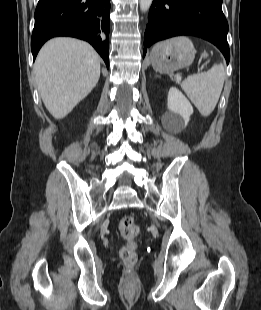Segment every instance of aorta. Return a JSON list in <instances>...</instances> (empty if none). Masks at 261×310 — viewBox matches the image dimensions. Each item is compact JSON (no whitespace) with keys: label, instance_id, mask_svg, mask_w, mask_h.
<instances>
[{"label":"aorta","instance_id":"1","mask_svg":"<svg viewBox=\"0 0 261 310\" xmlns=\"http://www.w3.org/2000/svg\"><path fill=\"white\" fill-rule=\"evenodd\" d=\"M153 0H140V9L142 12L149 10Z\"/></svg>","mask_w":261,"mask_h":310}]
</instances>
